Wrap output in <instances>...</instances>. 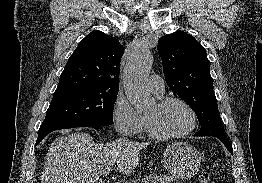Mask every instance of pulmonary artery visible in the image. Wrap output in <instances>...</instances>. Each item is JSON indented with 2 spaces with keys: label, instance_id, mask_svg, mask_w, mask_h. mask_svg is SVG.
Masks as SVG:
<instances>
[{
  "label": "pulmonary artery",
  "instance_id": "pulmonary-artery-1",
  "mask_svg": "<svg viewBox=\"0 0 262 183\" xmlns=\"http://www.w3.org/2000/svg\"><path fill=\"white\" fill-rule=\"evenodd\" d=\"M148 85L151 92L157 96L162 97L165 92V83L164 80L158 75L150 76L148 80Z\"/></svg>",
  "mask_w": 262,
  "mask_h": 183
}]
</instances>
